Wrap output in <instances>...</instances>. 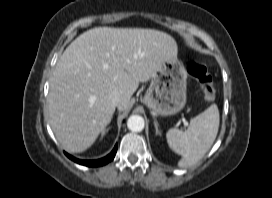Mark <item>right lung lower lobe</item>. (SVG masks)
<instances>
[{"mask_svg":"<svg viewBox=\"0 0 272 198\" xmlns=\"http://www.w3.org/2000/svg\"><path fill=\"white\" fill-rule=\"evenodd\" d=\"M116 151H117V145L114 147V149L112 150V152L109 155H107L106 157L101 158L99 160H79V159H76L73 156L67 154L66 152H65V155L78 164L89 166V167L90 166L97 167V166L105 165L108 162L112 161L113 158L115 157Z\"/></svg>","mask_w":272,"mask_h":198,"instance_id":"obj_1","label":"right lung lower lobe"}]
</instances>
